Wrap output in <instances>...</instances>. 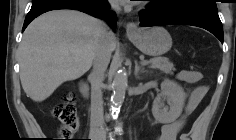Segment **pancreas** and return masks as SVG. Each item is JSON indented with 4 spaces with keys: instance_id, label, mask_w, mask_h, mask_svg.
Segmentation results:
<instances>
[{
    "instance_id": "1",
    "label": "pancreas",
    "mask_w": 236,
    "mask_h": 140,
    "mask_svg": "<svg viewBox=\"0 0 236 140\" xmlns=\"http://www.w3.org/2000/svg\"><path fill=\"white\" fill-rule=\"evenodd\" d=\"M151 68L159 69L167 74H172L175 70L173 63H171L167 58L156 57L150 60Z\"/></svg>"
}]
</instances>
